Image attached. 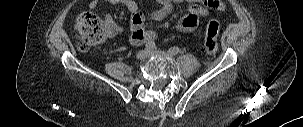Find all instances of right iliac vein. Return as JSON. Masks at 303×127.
<instances>
[{"label": "right iliac vein", "instance_id": "obj_1", "mask_svg": "<svg viewBox=\"0 0 303 127\" xmlns=\"http://www.w3.org/2000/svg\"><path fill=\"white\" fill-rule=\"evenodd\" d=\"M148 56L147 50H141L136 54V58L140 61L145 60Z\"/></svg>", "mask_w": 303, "mask_h": 127}]
</instances>
